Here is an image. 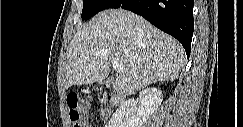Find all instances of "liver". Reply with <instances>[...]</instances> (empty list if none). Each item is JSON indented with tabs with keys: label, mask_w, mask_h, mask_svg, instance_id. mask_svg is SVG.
Returning <instances> with one entry per match:
<instances>
[{
	"label": "liver",
	"mask_w": 243,
	"mask_h": 127,
	"mask_svg": "<svg viewBox=\"0 0 243 127\" xmlns=\"http://www.w3.org/2000/svg\"><path fill=\"white\" fill-rule=\"evenodd\" d=\"M185 51L173 37L144 18L108 9L80 27L67 49L65 88L102 82L110 63L124 69L113 82L119 94L131 95L158 81H174L185 64Z\"/></svg>",
	"instance_id": "obj_1"
}]
</instances>
